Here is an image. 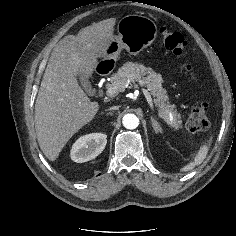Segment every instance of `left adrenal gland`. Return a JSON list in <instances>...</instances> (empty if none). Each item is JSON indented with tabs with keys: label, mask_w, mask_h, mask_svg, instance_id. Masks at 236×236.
<instances>
[{
	"label": "left adrenal gland",
	"mask_w": 236,
	"mask_h": 236,
	"mask_svg": "<svg viewBox=\"0 0 236 236\" xmlns=\"http://www.w3.org/2000/svg\"><path fill=\"white\" fill-rule=\"evenodd\" d=\"M151 122H152V126H153V129H154L155 133L162 132V129H161L160 125L158 124V122L153 117H151Z\"/></svg>",
	"instance_id": "1"
}]
</instances>
